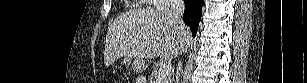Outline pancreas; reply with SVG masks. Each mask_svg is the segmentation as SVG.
I'll return each mask as SVG.
<instances>
[{
	"label": "pancreas",
	"instance_id": "cf45deb5",
	"mask_svg": "<svg viewBox=\"0 0 307 83\" xmlns=\"http://www.w3.org/2000/svg\"><path fill=\"white\" fill-rule=\"evenodd\" d=\"M157 77H158V71L155 70L151 76V79L153 80L152 82L153 83H168V80H169L168 76L162 78L161 81H157Z\"/></svg>",
	"mask_w": 307,
	"mask_h": 83
}]
</instances>
